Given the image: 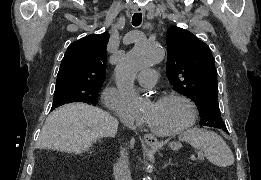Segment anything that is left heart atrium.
I'll use <instances>...</instances> for the list:
<instances>
[{
    "instance_id": "left-heart-atrium-1",
    "label": "left heart atrium",
    "mask_w": 261,
    "mask_h": 180,
    "mask_svg": "<svg viewBox=\"0 0 261 180\" xmlns=\"http://www.w3.org/2000/svg\"><path fill=\"white\" fill-rule=\"evenodd\" d=\"M144 116H145V112L140 111V113H138L135 117L143 121Z\"/></svg>"
}]
</instances>
